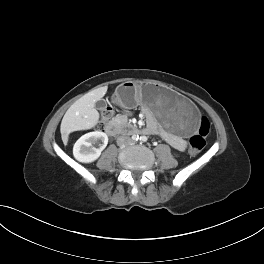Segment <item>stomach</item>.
<instances>
[{"label":"stomach","instance_id":"1","mask_svg":"<svg viewBox=\"0 0 264 264\" xmlns=\"http://www.w3.org/2000/svg\"><path fill=\"white\" fill-rule=\"evenodd\" d=\"M115 101L123 107L140 105L171 133L192 136L196 132L197 109L177 92L158 83L124 82L117 88Z\"/></svg>","mask_w":264,"mask_h":264}]
</instances>
